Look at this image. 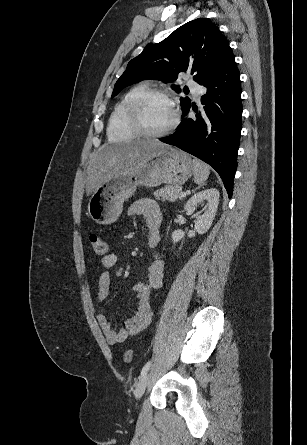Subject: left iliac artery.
Here are the masks:
<instances>
[{"label": "left iliac artery", "mask_w": 307, "mask_h": 445, "mask_svg": "<svg viewBox=\"0 0 307 445\" xmlns=\"http://www.w3.org/2000/svg\"><path fill=\"white\" fill-rule=\"evenodd\" d=\"M150 366H151V361H148L144 365V367L142 368L140 377L144 376L147 373V371L149 370Z\"/></svg>", "instance_id": "left-iliac-artery-1"}]
</instances>
